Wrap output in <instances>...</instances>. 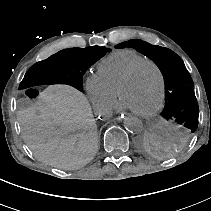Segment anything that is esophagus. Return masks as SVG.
Returning a JSON list of instances; mask_svg holds the SVG:
<instances>
[{"instance_id":"obj_1","label":"esophagus","mask_w":211,"mask_h":211,"mask_svg":"<svg viewBox=\"0 0 211 211\" xmlns=\"http://www.w3.org/2000/svg\"><path fill=\"white\" fill-rule=\"evenodd\" d=\"M130 119L131 113L130 112H124V111H118L117 112V120L121 121V119Z\"/></svg>"}]
</instances>
